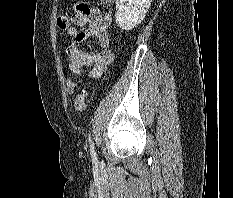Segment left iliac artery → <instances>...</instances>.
<instances>
[{
    "label": "left iliac artery",
    "instance_id": "left-iliac-artery-1",
    "mask_svg": "<svg viewBox=\"0 0 233 198\" xmlns=\"http://www.w3.org/2000/svg\"><path fill=\"white\" fill-rule=\"evenodd\" d=\"M89 141H90V153H91L92 160H93L94 163H97L98 160H97L96 151L94 149V144L91 141V139H89Z\"/></svg>",
    "mask_w": 233,
    "mask_h": 198
}]
</instances>
